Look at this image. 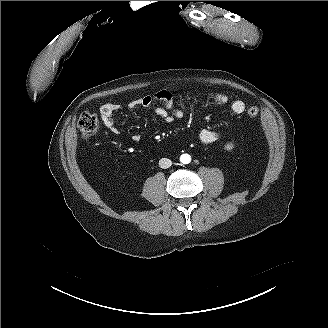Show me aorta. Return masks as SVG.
Wrapping results in <instances>:
<instances>
[{
    "label": "aorta",
    "mask_w": 328,
    "mask_h": 328,
    "mask_svg": "<svg viewBox=\"0 0 328 328\" xmlns=\"http://www.w3.org/2000/svg\"><path fill=\"white\" fill-rule=\"evenodd\" d=\"M180 161L183 164H188L191 161V157H190L189 154H182L181 157H180Z\"/></svg>",
    "instance_id": "1"
}]
</instances>
